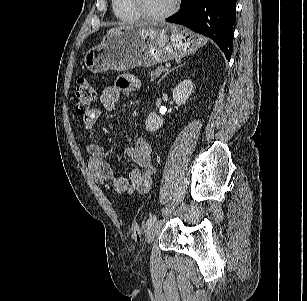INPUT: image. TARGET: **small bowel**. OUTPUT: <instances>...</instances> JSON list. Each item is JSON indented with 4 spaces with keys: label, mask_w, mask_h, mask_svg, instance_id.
<instances>
[{
    "label": "small bowel",
    "mask_w": 307,
    "mask_h": 301,
    "mask_svg": "<svg viewBox=\"0 0 307 301\" xmlns=\"http://www.w3.org/2000/svg\"><path fill=\"white\" fill-rule=\"evenodd\" d=\"M141 88L140 80L133 75H123L115 85L107 86L100 95L104 110L112 111L120 100L122 92H135ZM102 110L94 108L83 116V123L88 132L86 150L89 156L88 167L93 178L115 193H147L152 185L154 166L153 147L144 137H139L134 147L126 149L127 156L137 165L128 177L117 176L112 165L106 159L104 147L96 140L93 130Z\"/></svg>",
    "instance_id": "obj_1"
}]
</instances>
